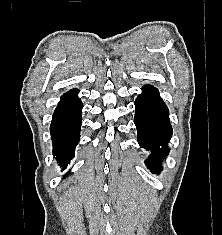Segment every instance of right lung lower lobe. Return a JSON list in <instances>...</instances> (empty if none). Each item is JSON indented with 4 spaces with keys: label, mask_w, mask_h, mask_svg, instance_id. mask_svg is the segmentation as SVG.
<instances>
[{
    "label": "right lung lower lobe",
    "mask_w": 222,
    "mask_h": 235,
    "mask_svg": "<svg viewBox=\"0 0 222 235\" xmlns=\"http://www.w3.org/2000/svg\"><path fill=\"white\" fill-rule=\"evenodd\" d=\"M78 89L65 93L56 107L50 126L54 156L59 165H67L80 139L83 104Z\"/></svg>",
    "instance_id": "right-lung-lower-lobe-1"
}]
</instances>
